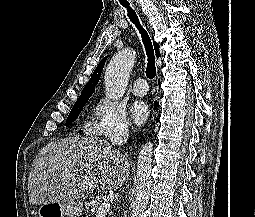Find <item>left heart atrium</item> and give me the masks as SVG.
Listing matches in <instances>:
<instances>
[{"label": "left heart atrium", "instance_id": "39dd6f15", "mask_svg": "<svg viewBox=\"0 0 255 217\" xmlns=\"http://www.w3.org/2000/svg\"><path fill=\"white\" fill-rule=\"evenodd\" d=\"M130 114L134 123L141 124L147 119L149 108L145 102L138 100L131 105Z\"/></svg>", "mask_w": 255, "mask_h": 217}]
</instances>
